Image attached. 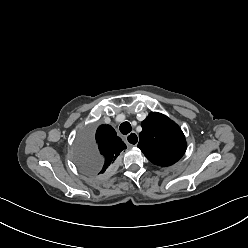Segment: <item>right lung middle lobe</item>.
Instances as JSON below:
<instances>
[{
    "label": "right lung middle lobe",
    "instance_id": "right-lung-middle-lobe-1",
    "mask_svg": "<svg viewBox=\"0 0 248 248\" xmlns=\"http://www.w3.org/2000/svg\"><path fill=\"white\" fill-rule=\"evenodd\" d=\"M76 162L81 170L99 175L103 161L94 142L81 137L76 147Z\"/></svg>",
    "mask_w": 248,
    "mask_h": 248
}]
</instances>
